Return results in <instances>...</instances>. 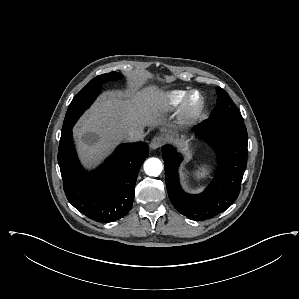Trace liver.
Here are the masks:
<instances>
[{
	"label": "liver",
	"instance_id": "obj_1",
	"mask_svg": "<svg viewBox=\"0 0 299 299\" xmlns=\"http://www.w3.org/2000/svg\"><path fill=\"white\" fill-rule=\"evenodd\" d=\"M164 99L155 86L124 94L107 91L83 117L77 130L79 154L84 164H95L120 141L131 128L155 127L164 123Z\"/></svg>",
	"mask_w": 299,
	"mask_h": 299
}]
</instances>
